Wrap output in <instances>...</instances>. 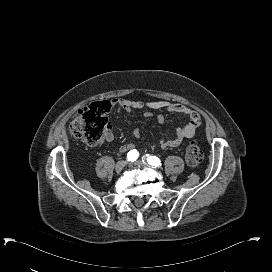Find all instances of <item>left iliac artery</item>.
<instances>
[{
	"label": "left iliac artery",
	"instance_id": "44dca946",
	"mask_svg": "<svg viewBox=\"0 0 272 272\" xmlns=\"http://www.w3.org/2000/svg\"><path fill=\"white\" fill-rule=\"evenodd\" d=\"M147 162H148V164H150V165H152L154 167H157V166L161 165L160 159L158 157H156V156H149L147 158Z\"/></svg>",
	"mask_w": 272,
	"mask_h": 272
}]
</instances>
